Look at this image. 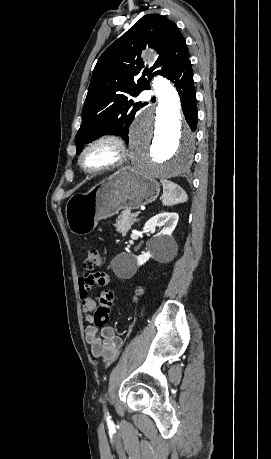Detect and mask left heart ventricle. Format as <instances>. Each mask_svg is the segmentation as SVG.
I'll return each mask as SVG.
<instances>
[{
	"mask_svg": "<svg viewBox=\"0 0 271 459\" xmlns=\"http://www.w3.org/2000/svg\"><path fill=\"white\" fill-rule=\"evenodd\" d=\"M115 155V147L109 141H102L93 145L83 159L84 167L95 168L109 160Z\"/></svg>",
	"mask_w": 271,
	"mask_h": 459,
	"instance_id": "obj_1",
	"label": "left heart ventricle"
}]
</instances>
